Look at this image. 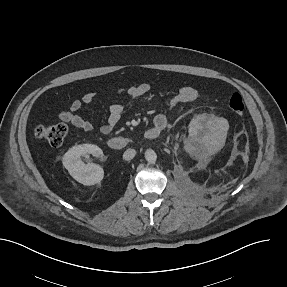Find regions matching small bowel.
Returning <instances> with one entry per match:
<instances>
[{"instance_id":"c3829d8e","label":"small bowel","mask_w":287,"mask_h":287,"mask_svg":"<svg viewBox=\"0 0 287 287\" xmlns=\"http://www.w3.org/2000/svg\"><path fill=\"white\" fill-rule=\"evenodd\" d=\"M150 86L147 83H142L135 86H130L121 89L120 92H125L131 101L139 100L143 95L148 93ZM200 96L199 91L192 86H183L180 90L171 97L165 104V111L157 114L154 119V126L160 129H165L169 124L168 112L176 108L180 104L190 103L197 100ZM96 98L95 92H86L81 98L73 100L68 109L59 112L58 117L63 122L69 123L72 126L90 132L93 130V124L83 118L79 111L86 105L91 104ZM124 108L121 104H112L109 108V113L106 122L100 127L102 134H109L116 124L120 121L123 115Z\"/></svg>"}]
</instances>
